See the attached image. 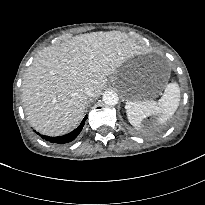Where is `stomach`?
<instances>
[{
    "instance_id": "0dacf381",
    "label": "stomach",
    "mask_w": 205,
    "mask_h": 205,
    "mask_svg": "<svg viewBox=\"0 0 205 205\" xmlns=\"http://www.w3.org/2000/svg\"><path fill=\"white\" fill-rule=\"evenodd\" d=\"M111 84L119 89L127 101L156 98L166 85V80L149 81L143 68L136 62H128L111 76Z\"/></svg>"
}]
</instances>
